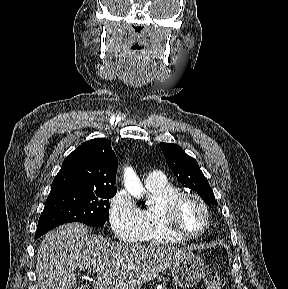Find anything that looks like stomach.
<instances>
[{
    "label": "stomach",
    "mask_w": 288,
    "mask_h": 289,
    "mask_svg": "<svg viewBox=\"0 0 288 289\" xmlns=\"http://www.w3.org/2000/svg\"><path fill=\"white\" fill-rule=\"evenodd\" d=\"M205 265L201 257L191 254L189 257L175 263L172 277L175 285L189 289L199 283L204 275Z\"/></svg>",
    "instance_id": "obj_1"
}]
</instances>
